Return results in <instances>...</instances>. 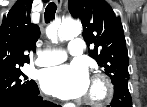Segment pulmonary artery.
I'll return each mask as SVG.
<instances>
[{
    "mask_svg": "<svg viewBox=\"0 0 147 107\" xmlns=\"http://www.w3.org/2000/svg\"><path fill=\"white\" fill-rule=\"evenodd\" d=\"M83 40L75 38L70 41L68 49L71 55H80L83 50ZM67 58L66 52L58 49H46L42 51L37 59L38 66H50L59 64Z\"/></svg>",
    "mask_w": 147,
    "mask_h": 107,
    "instance_id": "e3ab8cb5",
    "label": "pulmonary artery"
}]
</instances>
